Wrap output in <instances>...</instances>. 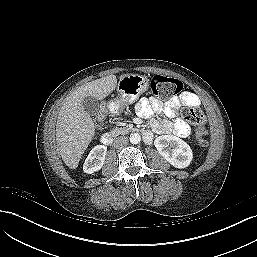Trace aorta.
<instances>
[{
  "instance_id": "762f6f07",
  "label": "aorta",
  "mask_w": 257,
  "mask_h": 257,
  "mask_svg": "<svg viewBox=\"0 0 257 257\" xmlns=\"http://www.w3.org/2000/svg\"><path fill=\"white\" fill-rule=\"evenodd\" d=\"M129 140L132 144H138L141 141V136L138 133L130 134Z\"/></svg>"
}]
</instances>
